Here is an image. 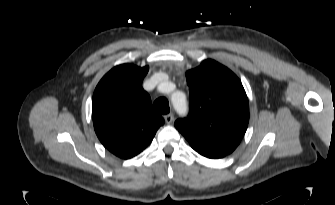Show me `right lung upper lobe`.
Returning <instances> with one entry per match:
<instances>
[{
	"mask_svg": "<svg viewBox=\"0 0 335 205\" xmlns=\"http://www.w3.org/2000/svg\"><path fill=\"white\" fill-rule=\"evenodd\" d=\"M148 70V66H116L94 91L95 132L104 147L122 159L139 154L164 124V119L151 108L149 94L142 88Z\"/></svg>",
	"mask_w": 335,
	"mask_h": 205,
	"instance_id": "obj_1",
	"label": "right lung upper lobe"
}]
</instances>
